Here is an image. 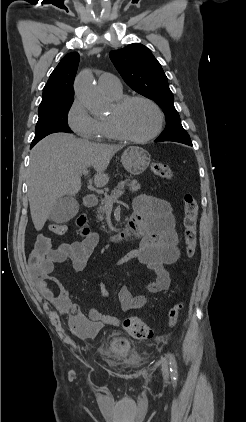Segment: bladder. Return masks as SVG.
Segmentation results:
<instances>
[{"instance_id": "31cf9c89", "label": "bladder", "mask_w": 246, "mask_h": 422, "mask_svg": "<svg viewBox=\"0 0 246 422\" xmlns=\"http://www.w3.org/2000/svg\"><path fill=\"white\" fill-rule=\"evenodd\" d=\"M104 350L106 355L111 358H125L130 355L131 347L129 343L123 342L119 338H112Z\"/></svg>"}]
</instances>
